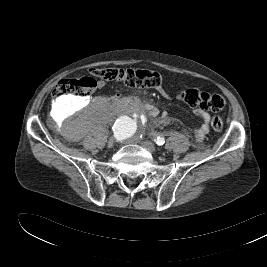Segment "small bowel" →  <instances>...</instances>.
Masks as SVG:
<instances>
[{
    "instance_id": "small-bowel-1",
    "label": "small bowel",
    "mask_w": 267,
    "mask_h": 267,
    "mask_svg": "<svg viewBox=\"0 0 267 267\" xmlns=\"http://www.w3.org/2000/svg\"><path fill=\"white\" fill-rule=\"evenodd\" d=\"M104 87V83L103 82H99L98 83V88H103ZM157 91L159 92V94L164 97L165 99L171 100L172 97L171 95L165 91L162 87H157ZM181 98V95H177L175 97V99L179 100ZM194 113L201 119L202 123L199 127V129L196 131V136L198 138L199 141H202L204 136L209 132V119L210 116L207 112L203 111V110H195ZM151 115L152 116H156L157 115V111L156 110H152L151 111Z\"/></svg>"
}]
</instances>
